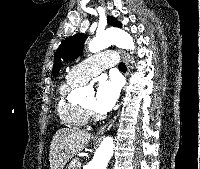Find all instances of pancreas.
Wrapping results in <instances>:
<instances>
[{
  "instance_id": "1",
  "label": "pancreas",
  "mask_w": 200,
  "mask_h": 169,
  "mask_svg": "<svg viewBox=\"0 0 200 169\" xmlns=\"http://www.w3.org/2000/svg\"><path fill=\"white\" fill-rule=\"evenodd\" d=\"M80 160L74 158L68 166V169H79Z\"/></svg>"
}]
</instances>
